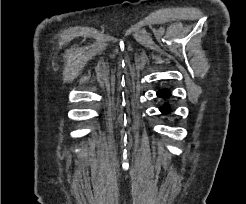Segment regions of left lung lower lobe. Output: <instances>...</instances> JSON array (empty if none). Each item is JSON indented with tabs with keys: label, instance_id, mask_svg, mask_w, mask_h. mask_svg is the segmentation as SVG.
<instances>
[{
	"label": "left lung lower lobe",
	"instance_id": "obj_1",
	"mask_svg": "<svg viewBox=\"0 0 246 204\" xmlns=\"http://www.w3.org/2000/svg\"><path fill=\"white\" fill-rule=\"evenodd\" d=\"M157 94L158 96H161V97H167L169 95V92L167 90H160ZM161 111L164 113H167L169 111V107L164 106L161 108Z\"/></svg>",
	"mask_w": 246,
	"mask_h": 204
}]
</instances>
